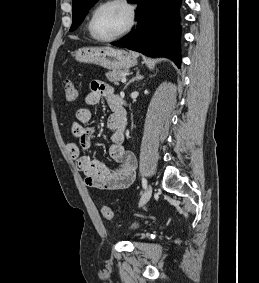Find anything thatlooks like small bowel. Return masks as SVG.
I'll use <instances>...</instances> for the list:
<instances>
[{
    "instance_id": "obj_1",
    "label": "small bowel",
    "mask_w": 259,
    "mask_h": 283,
    "mask_svg": "<svg viewBox=\"0 0 259 283\" xmlns=\"http://www.w3.org/2000/svg\"><path fill=\"white\" fill-rule=\"evenodd\" d=\"M102 98L113 111V114L107 118L106 126L111 132L108 153L114 166L109 167L85 154L91 146L94 134V129L87 125L92 117L88 108L82 107L76 110L71 132L78 143L69 142L66 148L78 169L84 174L89 187L104 190L125 189L135 179L137 160L135 155L123 146L125 120L121 119L116 112L120 99L110 86L99 81L92 82L91 90L85 96V103L96 105Z\"/></svg>"
}]
</instances>
